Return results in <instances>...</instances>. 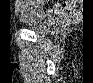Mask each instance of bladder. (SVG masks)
Returning <instances> with one entry per match:
<instances>
[{"mask_svg":"<svg viewBox=\"0 0 93 83\" xmlns=\"http://www.w3.org/2000/svg\"><path fill=\"white\" fill-rule=\"evenodd\" d=\"M38 34H42V31H38Z\"/></svg>","mask_w":93,"mask_h":83,"instance_id":"bladder-1","label":"bladder"}]
</instances>
